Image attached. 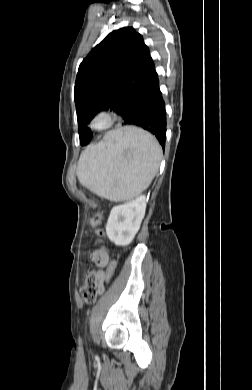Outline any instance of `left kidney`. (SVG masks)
<instances>
[{
	"mask_svg": "<svg viewBox=\"0 0 252 390\" xmlns=\"http://www.w3.org/2000/svg\"><path fill=\"white\" fill-rule=\"evenodd\" d=\"M145 210V196L113 207L106 225L110 241L117 246L129 245L140 228Z\"/></svg>",
	"mask_w": 252,
	"mask_h": 390,
	"instance_id": "5707ae66",
	"label": "left kidney"
}]
</instances>
